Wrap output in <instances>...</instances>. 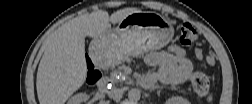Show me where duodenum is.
Wrapping results in <instances>:
<instances>
[{
	"instance_id": "410a0bca",
	"label": "duodenum",
	"mask_w": 252,
	"mask_h": 104,
	"mask_svg": "<svg viewBox=\"0 0 252 104\" xmlns=\"http://www.w3.org/2000/svg\"><path fill=\"white\" fill-rule=\"evenodd\" d=\"M108 83H109V79L106 76L100 77V79L97 81V88L101 92H106Z\"/></svg>"
}]
</instances>
